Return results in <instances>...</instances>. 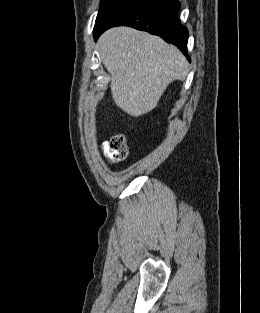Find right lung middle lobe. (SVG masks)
<instances>
[{"label":"right lung middle lobe","mask_w":260,"mask_h":313,"mask_svg":"<svg viewBox=\"0 0 260 313\" xmlns=\"http://www.w3.org/2000/svg\"><path fill=\"white\" fill-rule=\"evenodd\" d=\"M119 0H101L100 10L97 15L96 23L103 17V15ZM95 23V24H96Z\"/></svg>","instance_id":"right-lung-middle-lobe-1"}]
</instances>
